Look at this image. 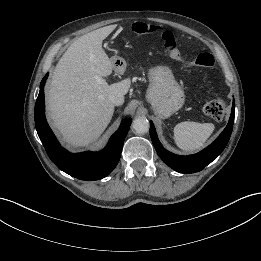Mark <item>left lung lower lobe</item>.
I'll use <instances>...</instances> for the list:
<instances>
[{"label":"left lung lower lobe","instance_id":"1","mask_svg":"<svg viewBox=\"0 0 261 261\" xmlns=\"http://www.w3.org/2000/svg\"><path fill=\"white\" fill-rule=\"evenodd\" d=\"M234 109L235 102L233 101L229 122L223 132L218 136V138L204 150L200 151L197 154L188 156L175 155L164 149L162 144L158 140L155 127L151 121L150 136L152 143L157 151V154L169 167L177 172L188 174L201 171L202 169H204V167L215 160L226 147L233 129L235 115Z\"/></svg>","mask_w":261,"mask_h":261}]
</instances>
